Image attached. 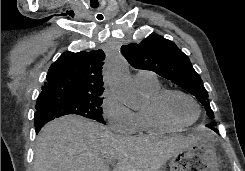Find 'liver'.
Masks as SVG:
<instances>
[{"instance_id": "liver-1", "label": "liver", "mask_w": 245, "mask_h": 171, "mask_svg": "<svg viewBox=\"0 0 245 171\" xmlns=\"http://www.w3.org/2000/svg\"><path fill=\"white\" fill-rule=\"evenodd\" d=\"M199 136H130L113 134L101 124L74 115L42 128L35 148L33 171H159L176 153Z\"/></svg>"}]
</instances>
